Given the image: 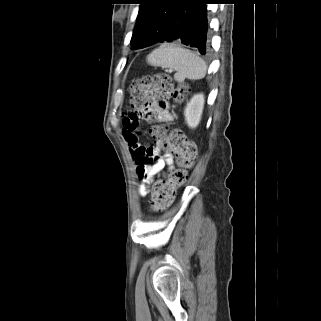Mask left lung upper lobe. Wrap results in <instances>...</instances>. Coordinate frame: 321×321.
<instances>
[{"label": "left lung upper lobe", "instance_id": "obj_1", "mask_svg": "<svg viewBox=\"0 0 321 321\" xmlns=\"http://www.w3.org/2000/svg\"><path fill=\"white\" fill-rule=\"evenodd\" d=\"M177 1L139 0L140 8L131 39L132 48H143L162 41L166 24Z\"/></svg>", "mask_w": 321, "mask_h": 321}]
</instances>
